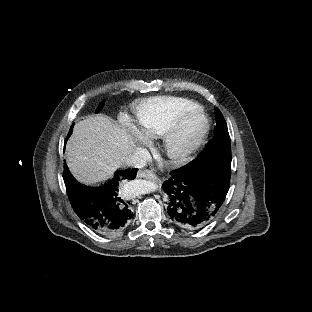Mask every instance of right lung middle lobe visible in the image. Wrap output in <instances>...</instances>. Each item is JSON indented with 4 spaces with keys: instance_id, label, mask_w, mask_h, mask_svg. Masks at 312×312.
<instances>
[{
    "instance_id": "obj_1",
    "label": "right lung middle lobe",
    "mask_w": 312,
    "mask_h": 312,
    "mask_svg": "<svg viewBox=\"0 0 312 312\" xmlns=\"http://www.w3.org/2000/svg\"><path fill=\"white\" fill-rule=\"evenodd\" d=\"M103 106H104V102H102V103L98 106V108L96 109V113L100 112V110L102 109ZM73 126H74V124H73V125L71 126V128H70L68 137H69V136L71 135V133H72ZM68 137H67V138H68Z\"/></svg>"
}]
</instances>
